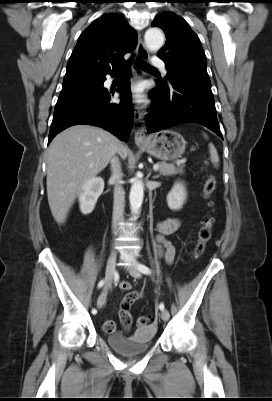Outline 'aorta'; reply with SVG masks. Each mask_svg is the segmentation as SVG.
<instances>
[{"label": "aorta", "instance_id": "762f6f07", "mask_svg": "<svg viewBox=\"0 0 272 401\" xmlns=\"http://www.w3.org/2000/svg\"><path fill=\"white\" fill-rule=\"evenodd\" d=\"M145 45L150 51L159 50L164 44V35L158 28H149L144 36ZM144 198V185L138 178L133 180L129 201L130 209L133 214H137L141 208Z\"/></svg>", "mask_w": 272, "mask_h": 401}]
</instances>
